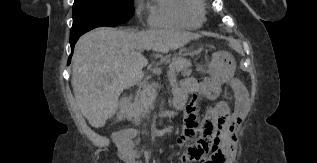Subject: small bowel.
<instances>
[{
    "label": "small bowel",
    "mask_w": 317,
    "mask_h": 163,
    "mask_svg": "<svg viewBox=\"0 0 317 163\" xmlns=\"http://www.w3.org/2000/svg\"><path fill=\"white\" fill-rule=\"evenodd\" d=\"M220 90V82L215 78L201 80L187 79L173 89V105L184 111V131L178 138V144L184 146L181 163H228L232 154L229 149L234 146V136L247 115L249 104L246 98L237 103L230 112L224 104L219 105L220 116L216 128L207 130L198 119V99L214 100ZM135 131L127 130L116 140L119 155L124 163H139L135 155Z\"/></svg>",
    "instance_id": "small-bowel-1"
}]
</instances>
